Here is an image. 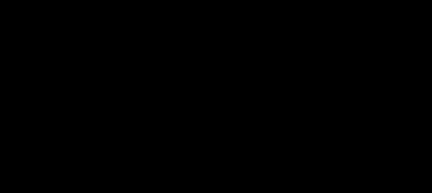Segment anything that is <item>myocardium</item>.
Returning <instances> with one entry per match:
<instances>
[{
  "label": "myocardium",
  "mask_w": 432,
  "mask_h": 193,
  "mask_svg": "<svg viewBox=\"0 0 432 193\" xmlns=\"http://www.w3.org/2000/svg\"><path fill=\"white\" fill-rule=\"evenodd\" d=\"M254 61H257V63H259L263 74L260 85L249 96L250 101L256 100L260 96H262L269 85L271 73L268 62L262 57L250 58L234 72L235 76L241 75L244 71H246L248 67H250L251 63Z\"/></svg>",
  "instance_id": "1"
}]
</instances>
